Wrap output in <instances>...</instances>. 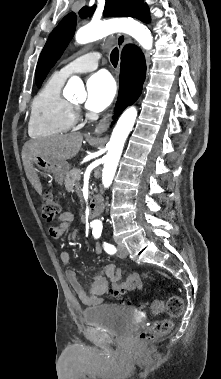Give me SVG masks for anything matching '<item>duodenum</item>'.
<instances>
[{"mask_svg": "<svg viewBox=\"0 0 221 379\" xmlns=\"http://www.w3.org/2000/svg\"><path fill=\"white\" fill-rule=\"evenodd\" d=\"M100 207H101V204H100L99 198L94 197L90 201V204H89V217L90 218L96 217L100 211Z\"/></svg>", "mask_w": 221, "mask_h": 379, "instance_id": "obj_1", "label": "duodenum"}]
</instances>
